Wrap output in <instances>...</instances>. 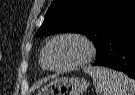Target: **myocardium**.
<instances>
[{
	"instance_id": "obj_1",
	"label": "myocardium",
	"mask_w": 135,
	"mask_h": 95,
	"mask_svg": "<svg viewBox=\"0 0 135 95\" xmlns=\"http://www.w3.org/2000/svg\"><path fill=\"white\" fill-rule=\"evenodd\" d=\"M62 39H75V40L80 41L86 49V55L83 59H81L79 62L75 64H72L66 67H51L48 64V55H49L50 49L55 42ZM95 53H96V48L93 42L87 36L81 33H77V32H67V33H62L53 37L48 42L44 51L43 63H44L45 69H48L50 71H56V72L70 71V70H75L77 68H80L84 66L85 64H87L88 62H90L95 56Z\"/></svg>"
}]
</instances>
